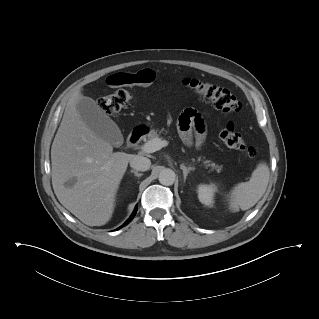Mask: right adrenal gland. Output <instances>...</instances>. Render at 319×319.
I'll return each mask as SVG.
<instances>
[{
  "instance_id": "1",
  "label": "right adrenal gland",
  "mask_w": 319,
  "mask_h": 319,
  "mask_svg": "<svg viewBox=\"0 0 319 319\" xmlns=\"http://www.w3.org/2000/svg\"><path fill=\"white\" fill-rule=\"evenodd\" d=\"M130 172L131 173H134V175L136 176V177H141L143 174L142 173H139L138 171H136V170H130Z\"/></svg>"
}]
</instances>
